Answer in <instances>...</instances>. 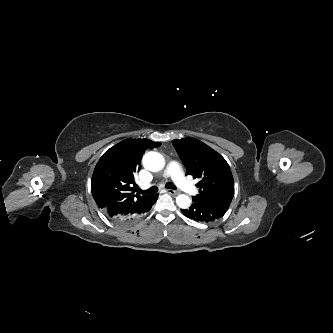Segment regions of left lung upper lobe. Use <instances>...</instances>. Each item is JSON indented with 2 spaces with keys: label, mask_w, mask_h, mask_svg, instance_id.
<instances>
[{
  "label": "left lung upper lobe",
  "mask_w": 333,
  "mask_h": 333,
  "mask_svg": "<svg viewBox=\"0 0 333 333\" xmlns=\"http://www.w3.org/2000/svg\"><path fill=\"white\" fill-rule=\"evenodd\" d=\"M178 155L187 168V175L200 181L195 198L230 206L234 195V182L226 160L215 150L196 138L172 141Z\"/></svg>",
  "instance_id": "obj_1"
}]
</instances>
